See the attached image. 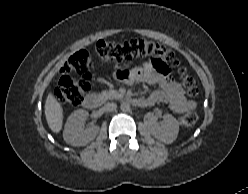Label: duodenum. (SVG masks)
Listing matches in <instances>:
<instances>
[{"label":"duodenum","instance_id":"duodenum-1","mask_svg":"<svg viewBox=\"0 0 248 194\" xmlns=\"http://www.w3.org/2000/svg\"><path fill=\"white\" fill-rule=\"evenodd\" d=\"M100 100L101 98L99 95L89 94L84 98L82 105L86 109H95L99 105ZM126 101L138 107L148 106V102L144 99L128 98Z\"/></svg>","mask_w":248,"mask_h":194}]
</instances>
